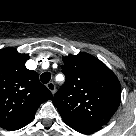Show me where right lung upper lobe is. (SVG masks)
<instances>
[{
  "label": "right lung upper lobe",
  "mask_w": 136,
  "mask_h": 136,
  "mask_svg": "<svg viewBox=\"0 0 136 136\" xmlns=\"http://www.w3.org/2000/svg\"><path fill=\"white\" fill-rule=\"evenodd\" d=\"M27 54L0 50V127L13 131L32 121L41 103L52 98L38 74L25 67Z\"/></svg>",
  "instance_id": "1"
}]
</instances>
